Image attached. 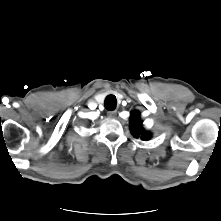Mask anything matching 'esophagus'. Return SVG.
Wrapping results in <instances>:
<instances>
[{"label": "esophagus", "instance_id": "34e87169", "mask_svg": "<svg viewBox=\"0 0 221 221\" xmlns=\"http://www.w3.org/2000/svg\"><path fill=\"white\" fill-rule=\"evenodd\" d=\"M107 114L109 118H115L117 116V111H109Z\"/></svg>", "mask_w": 221, "mask_h": 221}]
</instances>
